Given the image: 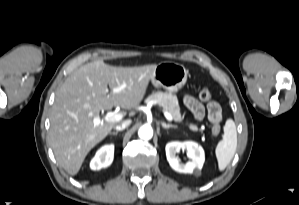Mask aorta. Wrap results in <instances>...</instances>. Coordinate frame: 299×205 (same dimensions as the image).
I'll list each match as a JSON object with an SVG mask.
<instances>
[{"label":"aorta","instance_id":"762f6f07","mask_svg":"<svg viewBox=\"0 0 299 205\" xmlns=\"http://www.w3.org/2000/svg\"><path fill=\"white\" fill-rule=\"evenodd\" d=\"M138 136L144 140H150L153 136V129L149 125H143L138 131Z\"/></svg>","mask_w":299,"mask_h":205}]
</instances>
